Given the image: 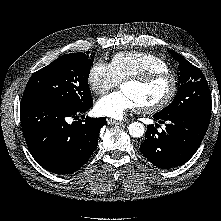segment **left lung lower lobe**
Listing matches in <instances>:
<instances>
[{
	"label": "left lung lower lobe",
	"mask_w": 221,
	"mask_h": 221,
	"mask_svg": "<svg viewBox=\"0 0 221 221\" xmlns=\"http://www.w3.org/2000/svg\"><path fill=\"white\" fill-rule=\"evenodd\" d=\"M153 118L166 122V128L158 132V124L147 126L140 151L156 167L170 169L186 163L195 154L209 126L210 113L155 114Z\"/></svg>",
	"instance_id": "obj_1"
}]
</instances>
